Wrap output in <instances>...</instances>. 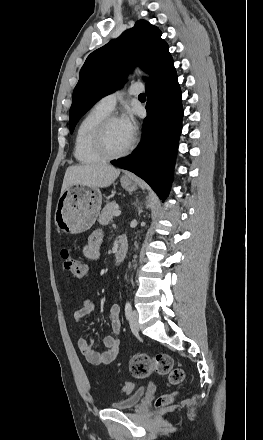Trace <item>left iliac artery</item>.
Returning a JSON list of instances; mask_svg holds the SVG:
<instances>
[{"instance_id":"obj_1","label":"left iliac artery","mask_w":263,"mask_h":440,"mask_svg":"<svg viewBox=\"0 0 263 440\" xmlns=\"http://www.w3.org/2000/svg\"><path fill=\"white\" fill-rule=\"evenodd\" d=\"M131 313H132V307H131L130 302L127 301L125 304V316H126L127 320L130 319Z\"/></svg>"}]
</instances>
